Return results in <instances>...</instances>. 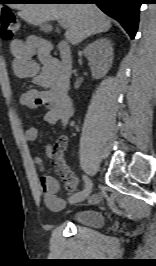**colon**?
<instances>
[{
	"label": "colon",
	"instance_id": "obj_1",
	"mask_svg": "<svg viewBox=\"0 0 156 266\" xmlns=\"http://www.w3.org/2000/svg\"><path fill=\"white\" fill-rule=\"evenodd\" d=\"M19 32V22L15 14L10 9L1 12V37L4 40H12Z\"/></svg>",
	"mask_w": 156,
	"mask_h": 266
}]
</instances>
